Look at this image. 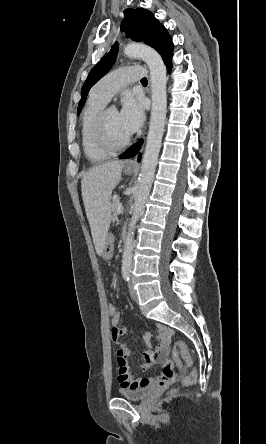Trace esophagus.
<instances>
[{
  "label": "esophagus",
  "instance_id": "esophagus-1",
  "mask_svg": "<svg viewBox=\"0 0 266 444\" xmlns=\"http://www.w3.org/2000/svg\"><path fill=\"white\" fill-rule=\"evenodd\" d=\"M127 167H138V163H137V157L133 158L132 160H129L126 163Z\"/></svg>",
  "mask_w": 266,
  "mask_h": 444
}]
</instances>
